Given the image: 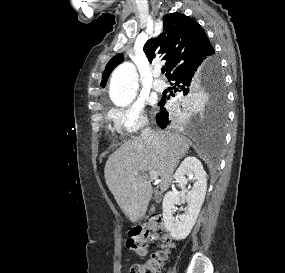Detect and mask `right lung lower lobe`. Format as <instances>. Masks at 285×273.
I'll use <instances>...</instances> for the list:
<instances>
[{"mask_svg": "<svg viewBox=\"0 0 285 273\" xmlns=\"http://www.w3.org/2000/svg\"><path fill=\"white\" fill-rule=\"evenodd\" d=\"M212 59V57L199 59L196 62L174 72L168 78L169 81L172 80L175 82L174 91L179 92L180 95L187 96L195 88L202 85L205 81L207 70L210 67ZM165 102L166 98L162 97V100L158 104L161 111L156 115V122L161 128L169 126L173 122L174 118L183 116V114L193 106L192 102L187 104L182 103L177 105L176 110L169 112L164 108Z\"/></svg>", "mask_w": 285, "mask_h": 273, "instance_id": "98d812e1", "label": "right lung lower lobe"}]
</instances>
